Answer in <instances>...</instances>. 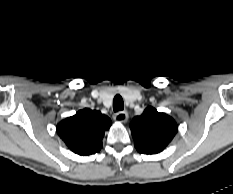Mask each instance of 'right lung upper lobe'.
Listing matches in <instances>:
<instances>
[{
  "instance_id": "cb5924a9",
  "label": "right lung upper lobe",
  "mask_w": 233,
  "mask_h": 194,
  "mask_svg": "<svg viewBox=\"0 0 233 194\" xmlns=\"http://www.w3.org/2000/svg\"><path fill=\"white\" fill-rule=\"evenodd\" d=\"M112 122L100 111L83 109L57 126V133L70 150L78 155H90L102 148L104 132Z\"/></svg>"
}]
</instances>
